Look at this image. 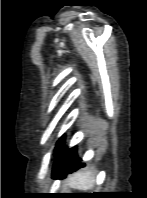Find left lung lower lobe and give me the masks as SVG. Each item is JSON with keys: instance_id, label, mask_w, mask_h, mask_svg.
<instances>
[{"instance_id": "0a47b994", "label": "left lung lower lobe", "mask_w": 147, "mask_h": 198, "mask_svg": "<svg viewBox=\"0 0 147 198\" xmlns=\"http://www.w3.org/2000/svg\"><path fill=\"white\" fill-rule=\"evenodd\" d=\"M64 142L63 138L56 148V159L53 165V177L55 178H63L66 174L72 173L85 165L78 158L76 147L64 148Z\"/></svg>"}]
</instances>
